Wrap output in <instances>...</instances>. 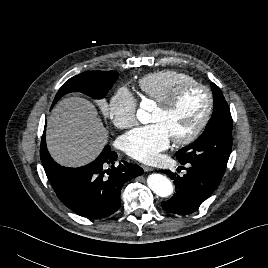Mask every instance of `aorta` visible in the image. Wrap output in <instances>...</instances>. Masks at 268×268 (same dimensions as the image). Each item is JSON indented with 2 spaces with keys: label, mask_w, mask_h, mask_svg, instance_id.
I'll return each mask as SVG.
<instances>
[{
  "label": "aorta",
  "mask_w": 268,
  "mask_h": 268,
  "mask_svg": "<svg viewBox=\"0 0 268 268\" xmlns=\"http://www.w3.org/2000/svg\"><path fill=\"white\" fill-rule=\"evenodd\" d=\"M152 107V102L148 99L142 100L140 107L137 110V119L142 124H147L151 121L150 108ZM148 187L158 196L167 197L173 193L174 187L171 181L163 176L162 174L153 173L147 178Z\"/></svg>",
  "instance_id": "1"
}]
</instances>
